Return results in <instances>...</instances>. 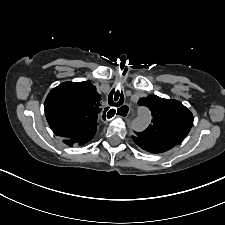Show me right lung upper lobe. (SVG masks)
I'll return each mask as SVG.
<instances>
[{"instance_id": "right-lung-upper-lobe-1", "label": "right lung upper lobe", "mask_w": 225, "mask_h": 225, "mask_svg": "<svg viewBox=\"0 0 225 225\" xmlns=\"http://www.w3.org/2000/svg\"><path fill=\"white\" fill-rule=\"evenodd\" d=\"M101 96L91 83L64 82L48 94L45 115L52 131L62 138H93L100 116Z\"/></svg>"}]
</instances>
